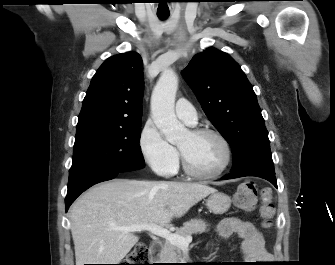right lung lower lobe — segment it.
<instances>
[{"instance_id":"98d812e1","label":"right lung lower lobe","mask_w":335,"mask_h":265,"mask_svg":"<svg viewBox=\"0 0 335 265\" xmlns=\"http://www.w3.org/2000/svg\"><path fill=\"white\" fill-rule=\"evenodd\" d=\"M121 171L111 169H97L83 173L68 182L65 199V209L68 211L74 200L92 185L115 178Z\"/></svg>"}]
</instances>
